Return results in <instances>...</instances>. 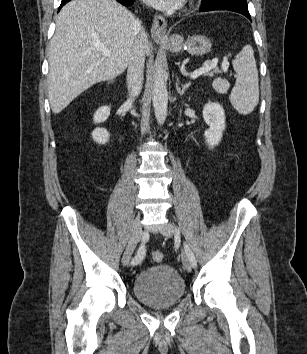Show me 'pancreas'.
I'll return each mask as SVG.
<instances>
[{"mask_svg":"<svg viewBox=\"0 0 307 354\" xmlns=\"http://www.w3.org/2000/svg\"><path fill=\"white\" fill-rule=\"evenodd\" d=\"M221 71L218 69V68H215L213 71H212V73H211V75H214L215 73H220Z\"/></svg>","mask_w":307,"mask_h":354,"instance_id":"1","label":"pancreas"}]
</instances>
